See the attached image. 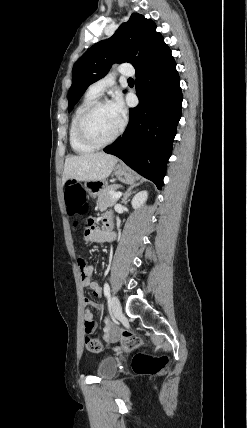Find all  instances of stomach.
Returning a JSON list of instances; mask_svg holds the SVG:
<instances>
[{
  "instance_id": "stomach-1",
  "label": "stomach",
  "mask_w": 247,
  "mask_h": 428,
  "mask_svg": "<svg viewBox=\"0 0 247 428\" xmlns=\"http://www.w3.org/2000/svg\"><path fill=\"white\" fill-rule=\"evenodd\" d=\"M114 175L116 178L127 184H132L134 182V176L131 171L124 165L118 164L114 167ZM86 190L90 194L91 197H96L100 190L107 186L106 181H87L84 184Z\"/></svg>"
}]
</instances>
